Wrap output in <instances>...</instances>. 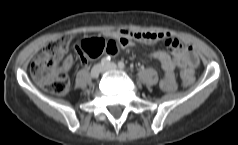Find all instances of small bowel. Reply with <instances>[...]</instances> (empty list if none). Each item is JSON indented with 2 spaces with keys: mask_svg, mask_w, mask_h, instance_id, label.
Listing matches in <instances>:
<instances>
[{
  "mask_svg": "<svg viewBox=\"0 0 238 145\" xmlns=\"http://www.w3.org/2000/svg\"><path fill=\"white\" fill-rule=\"evenodd\" d=\"M106 35L115 39L121 48L130 47L134 45L135 42L155 43L158 41H165L168 49L173 53V57L163 50L154 51L149 54L150 57L160 62L164 71V75L160 81V87L164 92H172L175 90L177 86L175 76L176 69L181 70V77L183 80L184 75L187 73L191 76L193 81V70L198 64V58L194 48L188 42H181L170 32H139L119 29L110 31ZM72 64L73 58L67 56L61 66V70H69Z\"/></svg>",
  "mask_w": 238,
  "mask_h": 145,
  "instance_id": "obj_1",
  "label": "small bowel"
}]
</instances>
